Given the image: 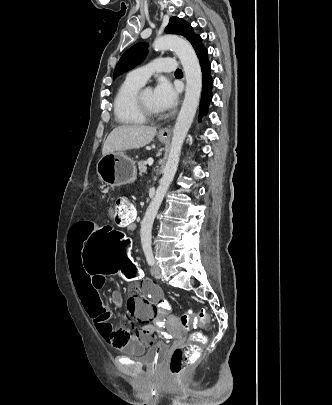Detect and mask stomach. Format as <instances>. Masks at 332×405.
I'll return each instance as SVG.
<instances>
[{"label": "stomach", "instance_id": "stomach-1", "mask_svg": "<svg viewBox=\"0 0 332 405\" xmlns=\"http://www.w3.org/2000/svg\"><path fill=\"white\" fill-rule=\"evenodd\" d=\"M160 142L167 137L158 136ZM96 171L99 178L108 185H124L136 180L135 162L123 152H112L103 155L97 162Z\"/></svg>", "mask_w": 332, "mask_h": 405}]
</instances>
